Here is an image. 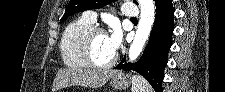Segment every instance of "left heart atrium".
Listing matches in <instances>:
<instances>
[{
  "mask_svg": "<svg viewBox=\"0 0 225 92\" xmlns=\"http://www.w3.org/2000/svg\"><path fill=\"white\" fill-rule=\"evenodd\" d=\"M108 36L112 50L116 53L122 41L120 28L117 25L113 26Z\"/></svg>",
  "mask_w": 225,
  "mask_h": 92,
  "instance_id": "1",
  "label": "left heart atrium"
}]
</instances>
